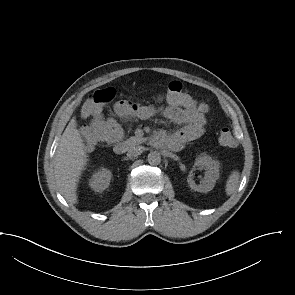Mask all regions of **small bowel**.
<instances>
[{"label":"small bowel","mask_w":295,"mask_h":295,"mask_svg":"<svg viewBox=\"0 0 295 295\" xmlns=\"http://www.w3.org/2000/svg\"><path fill=\"white\" fill-rule=\"evenodd\" d=\"M154 112L155 110L152 107L121 100L115 103L113 116L105 118L99 113L95 114L91 125L102 127L105 131L104 140L113 143L122 136L119 119H146ZM161 112L174 123L183 125L180 130L171 134L164 131L158 132L157 138L159 141L170 149H180L185 143L199 138L205 131L206 117L195 104H181L175 99L168 97V106L161 109Z\"/></svg>","instance_id":"1"}]
</instances>
